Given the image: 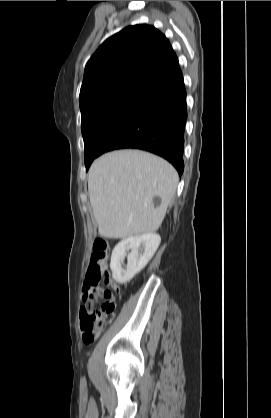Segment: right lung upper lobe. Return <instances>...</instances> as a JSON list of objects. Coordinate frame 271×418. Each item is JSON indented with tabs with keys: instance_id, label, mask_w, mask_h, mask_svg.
<instances>
[{
	"instance_id": "obj_1",
	"label": "right lung upper lobe",
	"mask_w": 271,
	"mask_h": 418,
	"mask_svg": "<svg viewBox=\"0 0 271 418\" xmlns=\"http://www.w3.org/2000/svg\"><path fill=\"white\" fill-rule=\"evenodd\" d=\"M183 78L168 39L146 24L129 26L107 39L87 62L80 109L123 94L150 101Z\"/></svg>"
}]
</instances>
